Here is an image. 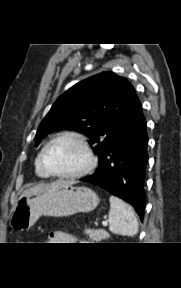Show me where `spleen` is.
Masks as SVG:
<instances>
[{
  "mask_svg": "<svg viewBox=\"0 0 181 288\" xmlns=\"http://www.w3.org/2000/svg\"><path fill=\"white\" fill-rule=\"evenodd\" d=\"M109 211V229L112 233L134 236L138 232V221L133 209L121 199L111 196Z\"/></svg>",
  "mask_w": 181,
  "mask_h": 288,
  "instance_id": "spleen-1",
  "label": "spleen"
}]
</instances>
